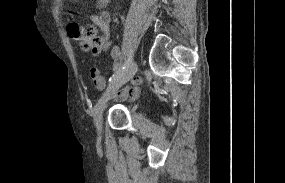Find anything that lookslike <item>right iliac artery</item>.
Segmentation results:
<instances>
[{"label": "right iliac artery", "mask_w": 285, "mask_h": 183, "mask_svg": "<svg viewBox=\"0 0 285 183\" xmlns=\"http://www.w3.org/2000/svg\"><path fill=\"white\" fill-rule=\"evenodd\" d=\"M131 62H132V55L130 54L128 56V59L124 63V65L121 67V69L117 73L113 74V76L109 79V81L113 82L115 79L119 78L125 72V70L129 67Z\"/></svg>", "instance_id": "1"}]
</instances>
